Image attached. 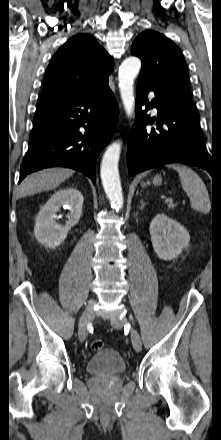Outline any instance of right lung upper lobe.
Listing matches in <instances>:
<instances>
[{
	"mask_svg": "<svg viewBox=\"0 0 221 440\" xmlns=\"http://www.w3.org/2000/svg\"><path fill=\"white\" fill-rule=\"evenodd\" d=\"M113 58L90 35L71 37L54 55L39 102L96 94L107 89Z\"/></svg>",
	"mask_w": 221,
	"mask_h": 440,
	"instance_id": "right-lung-upper-lobe-1",
	"label": "right lung upper lobe"
}]
</instances>
